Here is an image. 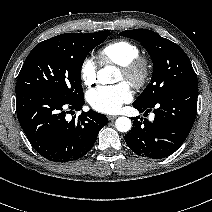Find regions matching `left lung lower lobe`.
Masks as SVG:
<instances>
[{"label": "left lung lower lobe", "instance_id": "left-lung-lower-lobe-1", "mask_svg": "<svg viewBox=\"0 0 212 212\" xmlns=\"http://www.w3.org/2000/svg\"><path fill=\"white\" fill-rule=\"evenodd\" d=\"M198 86L175 90L149 105L133 103L139 112L152 111L153 122L134 117L132 129L125 135L136 154L162 159L174 153L186 140L196 117Z\"/></svg>", "mask_w": 212, "mask_h": 212}]
</instances>
